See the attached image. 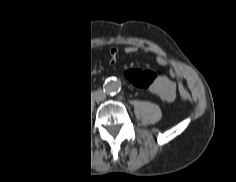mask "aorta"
I'll return each mask as SVG.
<instances>
[{"instance_id": "aorta-1", "label": "aorta", "mask_w": 236, "mask_h": 182, "mask_svg": "<svg viewBox=\"0 0 236 182\" xmlns=\"http://www.w3.org/2000/svg\"><path fill=\"white\" fill-rule=\"evenodd\" d=\"M106 89L108 91H116L119 89V84L118 82L116 81H112V82H109L107 85H106Z\"/></svg>"}]
</instances>
